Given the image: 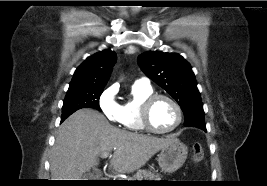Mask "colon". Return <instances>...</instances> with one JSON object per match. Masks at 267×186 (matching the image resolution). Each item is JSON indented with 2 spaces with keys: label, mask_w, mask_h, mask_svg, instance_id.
I'll list each match as a JSON object with an SVG mask.
<instances>
[{
  "label": "colon",
  "mask_w": 267,
  "mask_h": 186,
  "mask_svg": "<svg viewBox=\"0 0 267 186\" xmlns=\"http://www.w3.org/2000/svg\"><path fill=\"white\" fill-rule=\"evenodd\" d=\"M204 150L200 143H194L192 145V159L194 162H199L203 159Z\"/></svg>",
  "instance_id": "1"
}]
</instances>
